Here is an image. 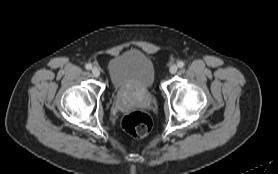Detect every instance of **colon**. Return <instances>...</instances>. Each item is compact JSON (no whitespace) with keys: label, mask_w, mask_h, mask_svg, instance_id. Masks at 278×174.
<instances>
[{"label":"colon","mask_w":278,"mask_h":174,"mask_svg":"<svg viewBox=\"0 0 278 174\" xmlns=\"http://www.w3.org/2000/svg\"><path fill=\"white\" fill-rule=\"evenodd\" d=\"M123 129L134 137L146 136L152 128V119L144 111H134L124 116Z\"/></svg>","instance_id":"1"}]
</instances>
